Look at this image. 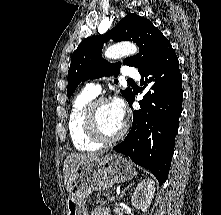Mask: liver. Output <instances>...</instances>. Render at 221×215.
Instances as JSON below:
<instances>
[{"mask_svg":"<svg viewBox=\"0 0 221 215\" xmlns=\"http://www.w3.org/2000/svg\"><path fill=\"white\" fill-rule=\"evenodd\" d=\"M103 155V152L99 153H87V154H80V153H71L69 154L63 165V175H64V185L67 191H69L70 180L74 173L75 168L90 159L100 158Z\"/></svg>","mask_w":221,"mask_h":215,"instance_id":"liver-1","label":"liver"}]
</instances>
